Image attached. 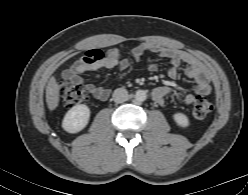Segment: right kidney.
I'll list each match as a JSON object with an SVG mask.
<instances>
[{
    "mask_svg": "<svg viewBox=\"0 0 248 195\" xmlns=\"http://www.w3.org/2000/svg\"><path fill=\"white\" fill-rule=\"evenodd\" d=\"M90 109L84 104L73 106L65 115L62 127L69 133L83 130L89 122Z\"/></svg>",
    "mask_w": 248,
    "mask_h": 195,
    "instance_id": "obj_1",
    "label": "right kidney"
}]
</instances>
